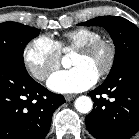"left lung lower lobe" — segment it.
<instances>
[{
  "label": "left lung lower lobe",
  "mask_w": 139,
  "mask_h": 139,
  "mask_svg": "<svg viewBox=\"0 0 139 139\" xmlns=\"http://www.w3.org/2000/svg\"><path fill=\"white\" fill-rule=\"evenodd\" d=\"M89 95L94 107L85 118L88 131L97 139L131 138L139 130V57L128 61Z\"/></svg>",
  "instance_id": "0a47b994"
}]
</instances>
